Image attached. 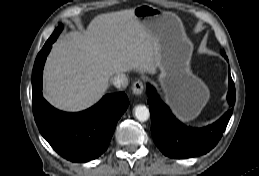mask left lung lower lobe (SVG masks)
Wrapping results in <instances>:
<instances>
[{"instance_id": "1", "label": "left lung lower lobe", "mask_w": 259, "mask_h": 176, "mask_svg": "<svg viewBox=\"0 0 259 176\" xmlns=\"http://www.w3.org/2000/svg\"><path fill=\"white\" fill-rule=\"evenodd\" d=\"M226 60L228 58L224 56ZM148 104L151 115V132L161 152L174 159L196 157L209 152L220 140L230 120L233 109H229L219 120L204 128H191L180 123L163 103L156 90L147 85ZM227 100L235 104V86L229 69Z\"/></svg>"}]
</instances>
